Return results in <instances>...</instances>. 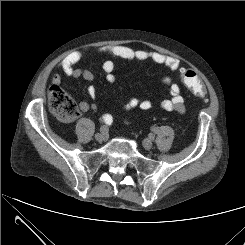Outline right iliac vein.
<instances>
[{
  "label": "right iliac vein",
  "mask_w": 245,
  "mask_h": 245,
  "mask_svg": "<svg viewBox=\"0 0 245 245\" xmlns=\"http://www.w3.org/2000/svg\"><path fill=\"white\" fill-rule=\"evenodd\" d=\"M105 134H103V133H97L96 135H95V139H96V141H98V142H103L104 140H105Z\"/></svg>",
  "instance_id": "1"
}]
</instances>
